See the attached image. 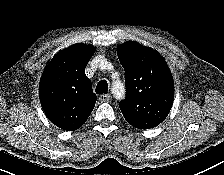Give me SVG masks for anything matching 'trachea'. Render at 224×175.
<instances>
[{"instance_id": "trachea-1", "label": "trachea", "mask_w": 224, "mask_h": 175, "mask_svg": "<svg viewBox=\"0 0 224 175\" xmlns=\"http://www.w3.org/2000/svg\"><path fill=\"white\" fill-rule=\"evenodd\" d=\"M96 93L105 94L108 91V83L106 80H102L97 84Z\"/></svg>"}]
</instances>
